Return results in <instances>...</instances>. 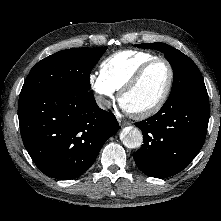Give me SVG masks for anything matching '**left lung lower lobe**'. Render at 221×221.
<instances>
[{
    "label": "left lung lower lobe",
    "mask_w": 221,
    "mask_h": 221,
    "mask_svg": "<svg viewBox=\"0 0 221 221\" xmlns=\"http://www.w3.org/2000/svg\"><path fill=\"white\" fill-rule=\"evenodd\" d=\"M209 114L207 91L170 96L154 116L135 123L144 139L134 153L138 168L156 178L186 168L204 144Z\"/></svg>",
    "instance_id": "obj_1"
}]
</instances>
